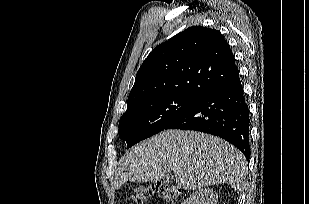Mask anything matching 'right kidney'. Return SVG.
I'll list each match as a JSON object with an SVG mask.
<instances>
[{
  "label": "right kidney",
  "mask_w": 309,
  "mask_h": 204,
  "mask_svg": "<svg viewBox=\"0 0 309 204\" xmlns=\"http://www.w3.org/2000/svg\"><path fill=\"white\" fill-rule=\"evenodd\" d=\"M217 200L213 190L209 188L199 189L192 193L182 204H216Z\"/></svg>",
  "instance_id": "right-kidney-1"
}]
</instances>
